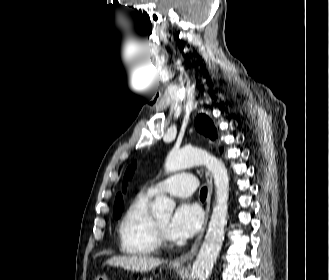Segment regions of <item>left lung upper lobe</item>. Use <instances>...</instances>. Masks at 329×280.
<instances>
[{"label":"left lung upper lobe","instance_id":"5c2ea615","mask_svg":"<svg viewBox=\"0 0 329 280\" xmlns=\"http://www.w3.org/2000/svg\"><path fill=\"white\" fill-rule=\"evenodd\" d=\"M195 126L198 131L205 134L206 136L212 137L213 134H215V128L213 126L212 121L209 119V117L205 114H200L197 116L195 121ZM136 167V163H133L130 167H128L125 175H124V183H123V191H126V180L131 179V177L134 174V170ZM124 204L121 194H117L114 204V218H119L121 216V213L123 211Z\"/></svg>","mask_w":329,"mask_h":280}]
</instances>
